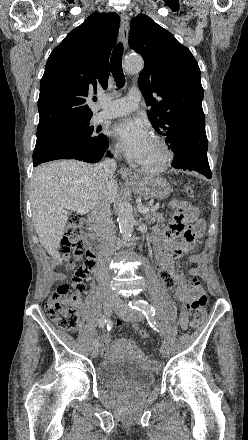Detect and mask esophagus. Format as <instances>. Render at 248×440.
Listing matches in <instances>:
<instances>
[{"mask_svg": "<svg viewBox=\"0 0 248 440\" xmlns=\"http://www.w3.org/2000/svg\"><path fill=\"white\" fill-rule=\"evenodd\" d=\"M128 34H129V17L125 12H123L121 13V38H122L124 50L127 49L128 47ZM119 173L121 174L123 179L133 178V173L125 165H122L120 167Z\"/></svg>", "mask_w": 248, "mask_h": 440, "instance_id": "esophagus-1", "label": "esophagus"}]
</instances>
